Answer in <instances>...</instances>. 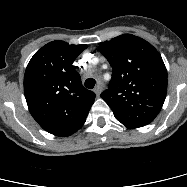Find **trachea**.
<instances>
[{
  "label": "trachea",
  "mask_w": 187,
  "mask_h": 187,
  "mask_svg": "<svg viewBox=\"0 0 187 187\" xmlns=\"http://www.w3.org/2000/svg\"><path fill=\"white\" fill-rule=\"evenodd\" d=\"M95 84H96V81H95V79H93V78H88V79L85 81V87L88 88V89L94 88Z\"/></svg>",
  "instance_id": "1"
}]
</instances>
